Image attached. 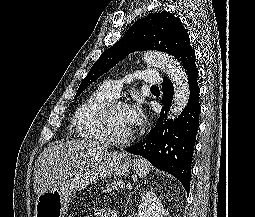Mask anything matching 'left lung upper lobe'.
I'll return each mask as SVG.
<instances>
[{"instance_id":"left-lung-upper-lobe-1","label":"left lung upper lobe","mask_w":255,"mask_h":217,"mask_svg":"<svg viewBox=\"0 0 255 217\" xmlns=\"http://www.w3.org/2000/svg\"><path fill=\"white\" fill-rule=\"evenodd\" d=\"M188 46L190 39L180 19L166 11L150 14L136 21L123 38L102 53L81 82L75 97L131 52L158 50L176 58Z\"/></svg>"}]
</instances>
